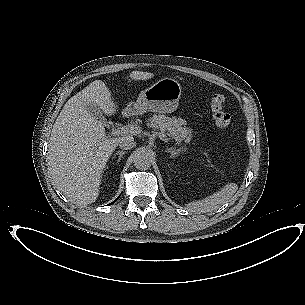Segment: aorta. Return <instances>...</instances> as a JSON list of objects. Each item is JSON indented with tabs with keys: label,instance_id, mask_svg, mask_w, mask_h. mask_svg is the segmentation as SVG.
I'll use <instances>...</instances> for the list:
<instances>
[{
	"label": "aorta",
	"instance_id": "762f6f07",
	"mask_svg": "<svg viewBox=\"0 0 305 305\" xmlns=\"http://www.w3.org/2000/svg\"><path fill=\"white\" fill-rule=\"evenodd\" d=\"M152 156L147 150H140L134 157V166L137 169H148L151 166Z\"/></svg>",
	"mask_w": 305,
	"mask_h": 305
}]
</instances>
